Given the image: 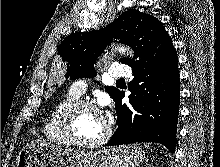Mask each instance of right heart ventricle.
I'll use <instances>...</instances> for the list:
<instances>
[{"mask_svg": "<svg viewBox=\"0 0 220 167\" xmlns=\"http://www.w3.org/2000/svg\"><path fill=\"white\" fill-rule=\"evenodd\" d=\"M76 99L78 96L70 91L51 107L42 127L43 135L50 142L59 145L68 144L59 131L58 121L63 109Z\"/></svg>", "mask_w": 220, "mask_h": 167, "instance_id": "1", "label": "right heart ventricle"}]
</instances>
